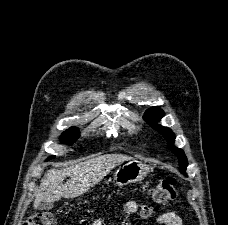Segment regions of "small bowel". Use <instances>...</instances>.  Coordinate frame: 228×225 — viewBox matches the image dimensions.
<instances>
[{
	"label": "small bowel",
	"mask_w": 228,
	"mask_h": 225,
	"mask_svg": "<svg viewBox=\"0 0 228 225\" xmlns=\"http://www.w3.org/2000/svg\"><path fill=\"white\" fill-rule=\"evenodd\" d=\"M139 210L138 204L134 200H129L125 203V212L127 214H135ZM153 214L152 203H145V206L141 209V217L146 219ZM155 225H183L182 218L175 212L168 211L158 215L154 221ZM79 225H103L101 218L95 219L92 223L82 220ZM124 225H132L131 222L124 223Z\"/></svg>",
	"instance_id": "obj_1"
}]
</instances>
